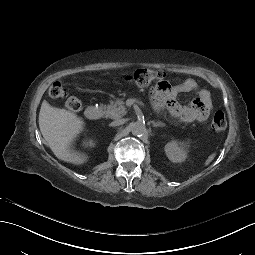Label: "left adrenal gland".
Instances as JSON below:
<instances>
[{"instance_id":"1","label":"left adrenal gland","mask_w":255,"mask_h":255,"mask_svg":"<svg viewBox=\"0 0 255 255\" xmlns=\"http://www.w3.org/2000/svg\"><path fill=\"white\" fill-rule=\"evenodd\" d=\"M150 123L152 124V127H155V128H159V127H164L165 126V124L160 122V121H157V122L150 121Z\"/></svg>"}]
</instances>
